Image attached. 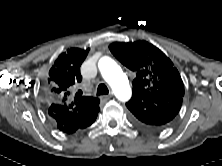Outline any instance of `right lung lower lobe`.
<instances>
[{
	"label": "right lung lower lobe",
	"mask_w": 222,
	"mask_h": 166,
	"mask_svg": "<svg viewBox=\"0 0 222 166\" xmlns=\"http://www.w3.org/2000/svg\"><path fill=\"white\" fill-rule=\"evenodd\" d=\"M71 106V104L67 103L60 105L51 104V107L48 109V115L51 121L61 131L69 134L91 125L95 121L99 112V106H97L98 110L90 117L89 121H85L76 117L75 113L69 109Z\"/></svg>",
	"instance_id": "obj_1"
}]
</instances>
